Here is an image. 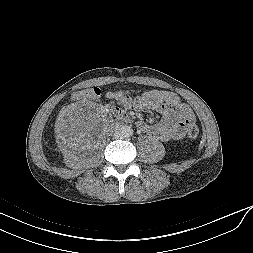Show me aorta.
<instances>
[{
    "mask_svg": "<svg viewBox=\"0 0 253 253\" xmlns=\"http://www.w3.org/2000/svg\"><path fill=\"white\" fill-rule=\"evenodd\" d=\"M119 134L123 138L130 137L133 134V129L127 125L121 126L119 128Z\"/></svg>",
    "mask_w": 253,
    "mask_h": 253,
    "instance_id": "762f6f07",
    "label": "aorta"
}]
</instances>
